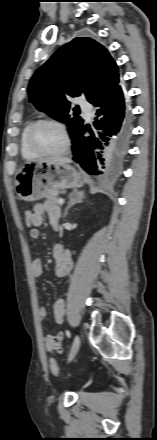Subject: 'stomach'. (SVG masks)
Instances as JSON below:
<instances>
[{
  "label": "stomach",
  "mask_w": 157,
  "mask_h": 440,
  "mask_svg": "<svg viewBox=\"0 0 157 440\" xmlns=\"http://www.w3.org/2000/svg\"><path fill=\"white\" fill-rule=\"evenodd\" d=\"M84 184V173L63 163L45 160L28 162L16 173L15 191L19 199L33 202L62 189L79 188Z\"/></svg>",
  "instance_id": "0dacf381"
}]
</instances>
